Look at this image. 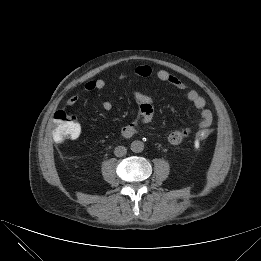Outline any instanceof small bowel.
Instances as JSON below:
<instances>
[{"mask_svg":"<svg viewBox=\"0 0 261 261\" xmlns=\"http://www.w3.org/2000/svg\"><path fill=\"white\" fill-rule=\"evenodd\" d=\"M135 74L141 77H149L152 74V69L147 65H140L135 68ZM122 78L125 75L121 76ZM156 77L159 81L169 83L172 86L176 87L180 90L186 89V84L176 77L175 75L171 74L166 70H159L156 73ZM106 86V82L102 78L91 79L87 81L84 85L86 91H93V90H102ZM132 96L137 101L139 105L138 109V117L139 119L147 124L150 123L153 119L154 115V101L152 97L147 94L142 93L139 90H133ZM187 100L192 103V105L200 111L201 119L199 121L198 127L204 128L209 127L212 124V113L210 110L206 108V101L205 99L196 91V90H188L186 93ZM79 101V97L74 95L71 96L67 100V105L69 107L74 106ZM102 107L105 111H110L113 107L110 101H105L102 104ZM136 123H130L124 126L121 130V134L124 138H131L136 133ZM192 129L190 127H186L179 130H174L170 132L167 136V140L172 145H178L183 142L186 138L190 136Z\"/></svg>","mask_w":261,"mask_h":261,"instance_id":"small-bowel-1","label":"small bowel"}]
</instances>
